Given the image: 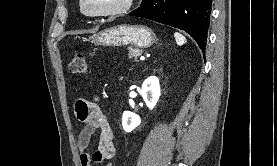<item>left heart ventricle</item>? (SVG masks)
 Listing matches in <instances>:
<instances>
[{
	"label": "left heart ventricle",
	"mask_w": 277,
	"mask_h": 166,
	"mask_svg": "<svg viewBox=\"0 0 277 166\" xmlns=\"http://www.w3.org/2000/svg\"><path fill=\"white\" fill-rule=\"evenodd\" d=\"M123 0H85L84 6L87 11H99L119 5Z\"/></svg>",
	"instance_id": "obj_1"
}]
</instances>
